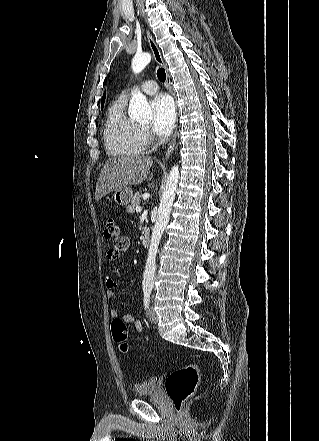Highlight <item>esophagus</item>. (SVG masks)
I'll use <instances>...</instances> for the list:
<instances>
[{
  "label": "esophagus",
  "mask_w": 319,
  "mask_h": 441,
  "mask_svg": "<svg viewBox=\"0 0 319 441\" xmlns=\"http://www.w3.org/2000/svg\"><path fill=\"white\" fill-rule=\"evenodd\" d=\"M147 39H148V43H149L150 49L153 53L155 61L157 62V64L159 66L163 67L166 70V84L169 88L170 94L174 97V99H176L175 93L171 87L170 75L167 71V68H166L164 60L162 58L161 52H160L158 46L156 45V43H155V41L149 31H147ZM177 134H178V114H177L176 121H175L174 132H173L172 138H171V140L168 144L167 150H166L165 159L169 158L174 151V148L176 145Z\"/></svg>",
  "instance_id": "obj_1"
}]
</instances>
